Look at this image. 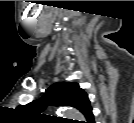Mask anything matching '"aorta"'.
<instances>
[{
	"label": "aorta",
	"mask_w": 134,
	"mask_h": 123,
	"mask_svg": "<svg viewBox=\"0 0 134 123\" xmlns=\"http://www.w3.org/2000/svg\"><path fill=\"white\" fill-rule=\"evenodd\" d=\"M61 113L70 119L82 118V115L73 108H64L61 110Z\"/></svg>",
	"instance_id": "obj_1"
}]
</instances>
